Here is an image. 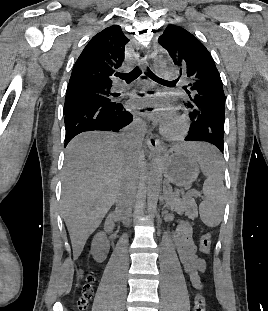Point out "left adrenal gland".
<instances>
[{
    "mask_svg": "<svg viewBox=\"0 0 268 311\" xmlns=\"http://www.w3.org/2000/svg\"><path fill=\"white\" fill-rule=\"evenodd\" d=\"M163 195H164L165 199H166V198L168 197V195H169V192H168V190H167L166 184H164V186H163ZM165 207H167V204L164 205V208H165Z\"/></svg>",
    "mask_w": 268,
    "mask_h": 311,
    "instance_id": "a2214340",
    "label": "left adrenal gland"
}]
</instances>
